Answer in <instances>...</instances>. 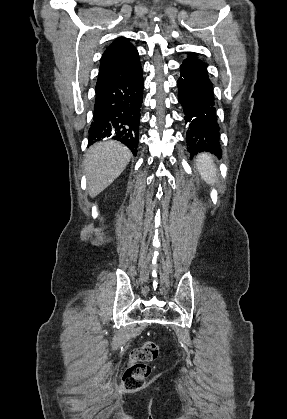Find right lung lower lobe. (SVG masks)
Here are the masks:
<instances>
[{"label": "right lung lower lobe", "mask_w": 287, "mask_h": 419, "mask_svg": "<svg viewBox=\"0 0 287 419\" xmlns=\"http://www.w3.org/2000/svg\"><path fill=\"white\" fill-rule=\"evenodd\" d=\"M95 92L88 144L110 138L122 142L136 155L143 100L141 64L129 75L96 88Z\"/></svg>", "instance_id": "obj_1"}]
</instances>
